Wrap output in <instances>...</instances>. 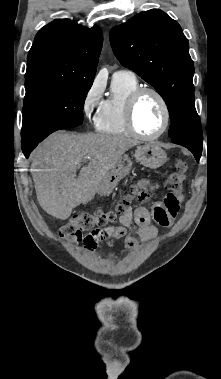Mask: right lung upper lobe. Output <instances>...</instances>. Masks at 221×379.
<instances>
[{
    "mask_svg": "<svg viewBox=\"0 0 221 379\" xmlns=\"http://www.w3.org/2000/svg\"><path fill=\"white\" fill-rule=\"evenodd\" d=\"M102 43V30L96 25L87 28L69 19H57L44 26L28 53L26 93L93 81Z\"/></svg>",
    "mask_w": 221,
    "mask_h": 379,
    "instance_id": "right-lung-upper-lobe-1",
    "label": "right lung upper lobe"
}]
</instances>
